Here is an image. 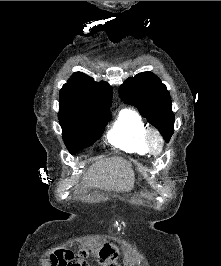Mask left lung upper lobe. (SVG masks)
Returning <instances> with one entry per match:
<instances>
[{
  "label": "left lung upper lobe",
  "mask_w": 221,
  "mask_h": 266,
  "mask_svg": "<svg viewBox=\"0 0 221 266\" xmlns=\"http://www.w3.org/2000/svg\"><path fill=\"white\" fill-rule=\"evenodd\" d=\"M119 94L124 103L134 105L169 142L174 132L172 102L166 86L155 74L143 72L127 78Z\"/></svg>",
  "instance_id": "obj_1"
}]
</instances>
